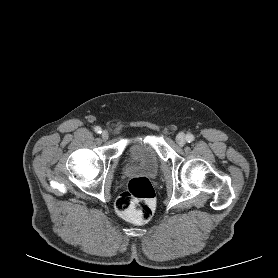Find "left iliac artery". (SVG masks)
<instances>
[{
	"mask_svg": "<svg viewBox=\"0 0 278 278\" xmlns=\"http://www.w3.org/2000/svg\"><path fill=\"white\" fill-rule=\"evenodd\" d=\"M186 141L187 142H192L194 141V136L192 134H187L186 135Z\"/></svg>",
	"mask_w": 278,
	"mask_h": 278,
	"instance_id": "obj_1",
	"label": "left iliac artery"
}]
</instances>
